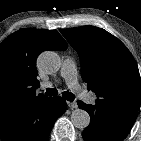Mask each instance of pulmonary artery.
I'll list each match as a JSON object with an SVG mask.
<instances>
[{"label":"pulmonary artery","instance_id":"pulmonary-artery-1","mask_svg":"<svg viewBox=\"0 0 141 141\" xmlns=\"http://www.w3.org/2000/svg\"><path fill=\"white\" fill-rule=\"evenodd\" d=\"M61 76L66 81L68 87L74 92L78 93L80 97L88 102L93 103L96 99L94 94H91L83 90L78 82L77 68L76 64L72 59H65L61 68ZM52 85L51 82L42 83L41 88L46 89Z\"/></svg>","mask_w":141,"mask_h":141}]
</instances>
